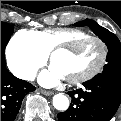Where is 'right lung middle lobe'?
<instances>
[{
    "mask_svg": "<svg viewBox=\"0 0 121 121\" xmlns=\"http://www.w3.org/2000/svg\"><path fill=\"white\" fill-rule=\"evenodd\" d=\"M13 31V26L1 22V58H5V47L10 39V36Z\"/></svg>",
    "mask_w": 121,
    "mask_h": 121,
    "instance_id": "obj_1",
    "label": "right lung middle lobe"
}]
</instances>
